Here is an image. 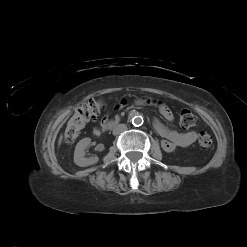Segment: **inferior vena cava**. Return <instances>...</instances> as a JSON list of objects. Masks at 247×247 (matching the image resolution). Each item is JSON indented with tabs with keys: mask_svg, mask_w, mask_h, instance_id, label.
I'll list each match as a JSON object with an SVG mask.
<instances>
[{
	"mask_svg": "<svg viewBox=\"0 0 247 247\" xmlns=\"http://www.w3.org/2000/svg\"><path fill=\"white\" fill-rule=\"evenodd\" d=\"M125 130H127V126L125 124H119L113 129V134L119 135L120 133L124 132Z\"/></svg>",
	"mask_w": 247,
	"mask_h": 247,
	"instance_id": "602c4592",
	"label": "inferior vena cava"
}]
</instances>
